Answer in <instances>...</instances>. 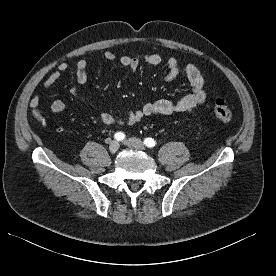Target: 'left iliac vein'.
Wrapping results in <instances>:
<instances>
[{"label":"left iliac vein","instance_id":"obj_1","mask_svg":"<svg viewBox=\"0 0 276 276\" xmlns=\"http://www.w3.org/2000/svg\"><path fill=\"white\" fill-rule=\"evenodd\" d=\"M124 144L130 148H134L141 151L145 150L143 142L138 138H129L124 141Z\"/></svg>","mask_w":276,"mask_h":276}]
</instances>
